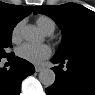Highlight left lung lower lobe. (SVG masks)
I'll return each mask as SVG.
<instances>
[{"label": "left lung lower lobe", "mask_w": 95, "mask_h": 95, "mask_svg": "<svg viewBox=\"0 0 95 95\" xmlns=\"http://www.w3.org/2000/svg\"><path fill=\"white\" fill-rule=\"evenodd\" d=\"M56 74L54 84L46 89L47 95H95V55L86 54L74 58L54 57ZM66 63L67 69L63 70Z\"/></svg>", "instance_id": "left-lung-lower-lobe-1"}]
</instances>
